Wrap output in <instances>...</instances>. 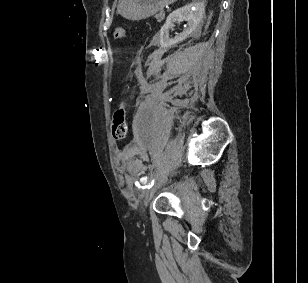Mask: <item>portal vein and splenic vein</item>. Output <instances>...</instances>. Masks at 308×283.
Here are the masks:
<instances>
[{
    "instance_id": "1",
    "label": "portal vein and splenic vein",
    "mask_w": 308,
    "mask_h": 283,
    "mask_svg": "<svg viewBox=\"0 0 308 283\" xmlns=\"http://www.w3.org/2000/svg\"><path fill=\"white\" fill-rule=\"evenodd\" d=\"M167 8V10H170V8L169 7H166Z\"/></svg>"
}]
</instances>
